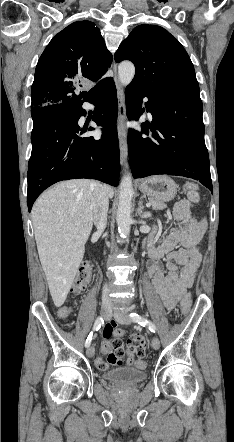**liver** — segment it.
<instances>
[{
  "mask_svg": "<svg viewBox=\"0 0 234 442\" xmlns=\"http://www.w3.org/2000/svg\"><path fill=\"white\" fill-rule=\"evenodd\" d=\"M104 188L112 198V187ZM91 198V181L68 180L43 193L32 208L38 254L56 307L65 302L84 256L93 227Z\"/></svg>",
  "mask_w": 234,
  "mask_h": 442,
  "instance_id": "obj_1",
  "label": "liver"
}]
</instances>
